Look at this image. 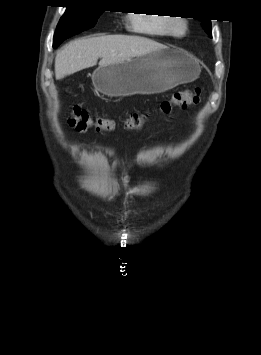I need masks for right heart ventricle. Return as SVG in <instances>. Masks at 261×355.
Masks as SVG:
<instances>
[{
	"instance_id": "right-heart-ventricle-1",
	"label": "right heart ventricle",
	"mask_w": 261,
	"mask_h": 355,
	"mask_svg": "<svg viewBox=\"0 0 261 355\" xmlns=\"http://www.w3.org/2000/svg\"><path fill=\"white\" fill-rule=\"evenodd\" d=\"M170 19L166 16L150 15V14H134L130 18V26L133 31L152 36L165 37L169 36L168 23Z\"/></svg>"
}]
</instances>
